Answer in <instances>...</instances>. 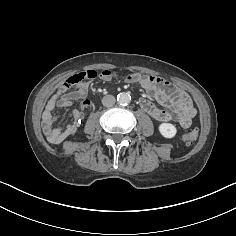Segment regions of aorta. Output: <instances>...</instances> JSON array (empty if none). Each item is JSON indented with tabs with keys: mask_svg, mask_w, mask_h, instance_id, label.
I'll return each mask as SVG.
<instances>
[{
	"mask_svg": "<svg viewBox=\"0 0 236 236\" xmlns=\"http://www.w3.org/2000/svg\"><path fill=\"white\" fill-rule=\"evenodd\" d=\"M117 101L120 105H128L131 102V96L129 93H120L117 96Z\"/></svg>",
	"mask_w": 236,
	"mask_h": 236,
	"instance_id": "1",
	"label": "aorta"
}]
</instances>
